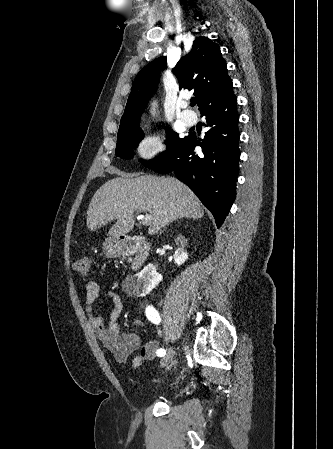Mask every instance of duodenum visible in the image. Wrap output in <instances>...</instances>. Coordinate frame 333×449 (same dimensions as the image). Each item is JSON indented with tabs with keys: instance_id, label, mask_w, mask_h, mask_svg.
<instances>
[{
	"instance_id": "duodenum-1",
	"label": "duodenum",
	"mask_w": 333,
	"mask_h": 449,
	"mask_svg": "<svg viewBox=\"0 0 333 449\" xmlns=\"http://www.w3.org/2000/svg\"><path fill=\"white\" fill-rule=\"evenodd\" d=\"M114 252L117 255H131L132 269H140L149 255V243L142 237H119L114 243Z\"/></svg>"
}]
</instances>
